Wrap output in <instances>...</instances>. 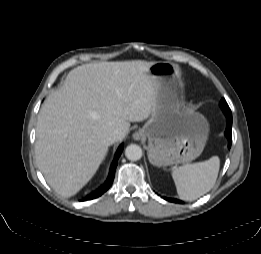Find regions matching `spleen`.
<instances>
[{
    "label": "spleen",
    "mask_w": 261,
    "mask_h": 254,
    "mask_svg": "<svg viewBox=\"0 0 261 254\" xmlns=\"http://www.w3.org/2000/svg\"><path fill=\"white\" fill-rule=\"evenodd\" d=\"M219 168L218 156L174 168L172 177L179 197L182 200L193 201L209 192L216 182Z\"/></svg>",
    "instance_id": "1"
}]
</instances>
